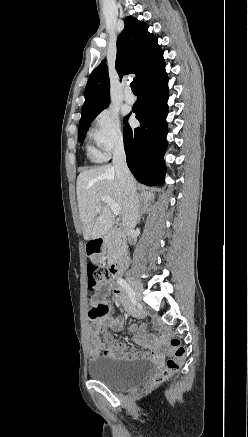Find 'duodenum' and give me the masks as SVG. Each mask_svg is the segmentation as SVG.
<instances>
[{"label":"duodenum","instance_id":"obj_1","mask_svg":"<svg viewBox=\"0 0 248 437\" xmlns=\"http://www.w3.org/2000/svg\"><path fill=\"white\" fill-rule=\"evenodd\" d=\"M122 230V226L120 224H117L114 226L113 231L115 233H118ZM105 244V238L103 237H96L90 241V243L86 246V255L87 257H96L104 248ZM125 265V259L123 257L116 258L112 265H111V271L112 273L117 276L119 275Z\"/></svg>","mask_w":248,"mask_h":437}]
</instances>
